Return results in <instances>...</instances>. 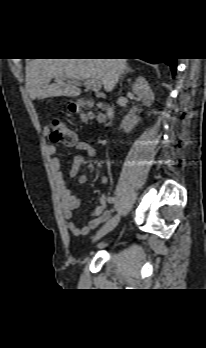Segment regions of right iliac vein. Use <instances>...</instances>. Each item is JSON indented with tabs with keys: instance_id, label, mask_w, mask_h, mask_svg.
<instances>
[{
	"instance_id": "63e3f726",
	"label": "right iliac vein",
	"mask_w": 206,
	"mask_h": 348,
	"mask_svg": "<svg viewBox=\"0 0 206 348\" xmlns=\"http://www.w3.org/2000/svg\"><path fill=\"white\" fill-rule=\"evenodd\" d=\"M120 216L115 215L112 219H110L94 236L93 242L101 239L104 235L111 232L119 223Z\"/></svg>"
}]
</instances>
